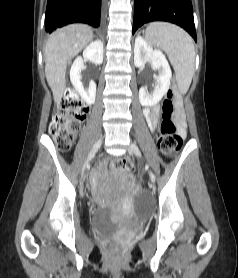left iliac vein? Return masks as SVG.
I'll use <instances>...</instances> for the list:
<instances>
[{
  "label": "left iliac vein",
  "mask_w": 238,
  "mask_h": 278,
  "mask_svg": "<svg viewBox=\"0 0 238 278\" xmlns=\"http://www.w3.org/2000/svg\"><path fill=\"white\" fill-rule=\"evenodd\" d=\"M128 151L130 153L136 155V156L140 155V150L134 142H131L129 144ZM154 183H155V175L153 174V172L150 171V185H151V187H154Z\"/></svg>",
  "instance_id": "left-iliac-vein-1"
}]
</instances>
